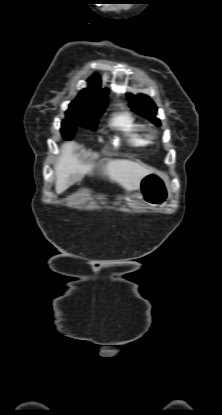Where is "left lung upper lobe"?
Returning <instances> with one entry per match:
<instances>
[{
    "instance_id": "1",
    "label": "left lung upper lobe",
    "mask_w": 222,
    "mask_h": 415,
    "mask_svg": "<svg viewBox=\"0 0 222 415\" xmlns=\"http://www.w3.org/2000/svg\"><path fill=\"white\" fill-rule=\"evenodd\" d=\"M128 98L132 104L133 110L136 113L149 119L154 124L160 125L159 119L155 117L157 113V107L148 96L144 94H139L137 96L128 94Z\"/></svg>"
}]
</instances>
